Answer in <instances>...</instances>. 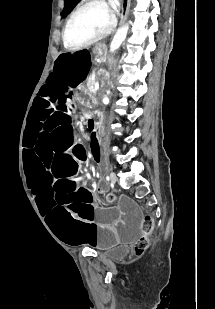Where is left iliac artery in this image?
Instances as JSON below:
<instances>
[{
  "label": "left iliac artery",
  "instance_id": "1",
  "mask_svg": "<svg viewBox=\"0 0 215 309\" xmlns=\"http://www.w3.org/2000/svg\"><path fill=\"white\" fill-rule=\"evenodd\" d=\"M106 180L109 181V176L106 177Z\"/></svg>",
  "mask_w": 215,
  "mask_h": 309
}]
</instances>
